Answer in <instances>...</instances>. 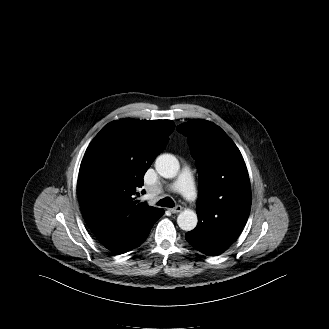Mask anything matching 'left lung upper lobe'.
Masks as SVG:
<instances>
[{
    "instance_id": "1",
    "label": "left lung upper lobe",
    "mask_w": 329,
    "mask_h": 329,
    "mask_svg": "<svg viewBox=\"0 0 329 329\" xmlns=\"http://www.w3.org/2000/svg\"><path fill=\"white\" fill-rule=\"evenodd\" d=\"M188 136L199 173L197 230L219 234L228 223L244 226L251 209L249 176L243 157L216 124L192 120L177 127Z\"/></svg>"
}]
</instances>
